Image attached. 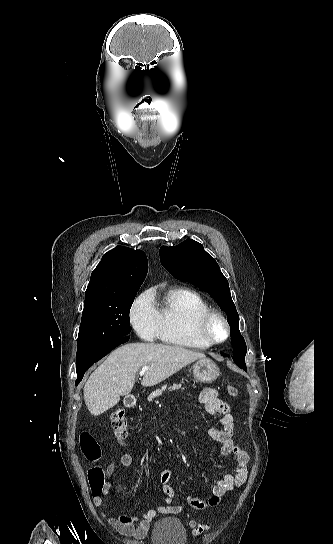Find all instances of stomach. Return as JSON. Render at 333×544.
I'll list each match as a JSON object with an SVG mask.
<instances>
[{
  "instance_id": "obj_1",
  "label": "stomach",
  "mask_w": 333,
  "mask_h": 544,
  "mask_svg": "<svg viewBox=\"0 0 333 544\" xmlns=\"http://www.w3.org/2000/svg\"><path fill=\"white\" fill-rule=\"evenodd\" d=\"M219 368L208 358L199 359L193 365V375L197 382L210 383L219 376Z\"/></svg>"
}]
</instances>
